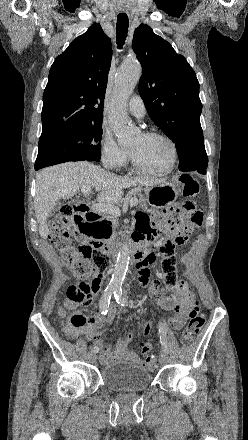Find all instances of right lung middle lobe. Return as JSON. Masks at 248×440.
I'll return each mask as SVG.
<instances>
[{"instance_id":"dd1d6c3e","label":"right lung middle lobe","mask_w":248,"mask_h":440,"mask_svg":"<svg viewBox=\"0 0 248 440\" xmlns=\"http://www.w3.org/2000/svg\"><path fill=\"white\" fill-rule=\"evenodd\" d=\"M102 123L41 135L35 169L67 161H99Z\"/></svg>"}]
</instances>
